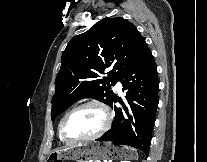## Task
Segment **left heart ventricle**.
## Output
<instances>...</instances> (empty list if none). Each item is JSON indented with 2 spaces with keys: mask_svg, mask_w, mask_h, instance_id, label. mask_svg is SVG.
<instances>
[{
  "mask_svg": "<svg viewBox=\"0 0 207 162\" xmlns=\"http://www.w3.org/2000/svg\"><path fill=\"white\" fill-rule=\"evenodd\" d=\"M104 117L100 109L89 106L76 111L66 122L65 135L76 139L96 133L103 125Z\"/></svg>",
  "mask_w": 207,
  "mask_h": 162,
  "instance_id": "b2bd125f",
  "label": "left heart ventricle"
}]
</instances>
